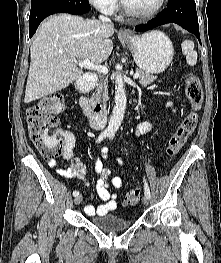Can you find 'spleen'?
<instances>
[{
    "label": "spleen",
    "instance_id": "1",
    "mask_svg": "<svg viewBox=\"0 0 221 263\" xmlns=\"http://www.w3.org/2000/svg\"><path fill=\"white\" fill-rule=\"evenodd\" d=\"M182 52L186 56V62L188 65L194 66L197 63V52L194 50V43L190 40L183 41Z\"/></svg>",
    "mask_w": 221,
    "mask_h": 263
}]
</instances>
